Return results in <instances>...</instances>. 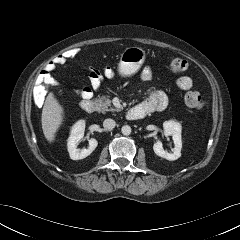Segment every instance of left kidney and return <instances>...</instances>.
<instances>
[{
  "label": "left kidney",
  "instance_id": "obj_1",
  "mask_svg": "<svg viewBox=\"0 0 240 240\" xmlns=\"http://www.w3.org/2000/svg\"><path fill=\"white\" fill-rule=\"evenodd\" d=\"M164 134L172 136L174 142L173 153H168L163 149L162 142L157 140L153 145V150L156 155L165 158L169 161L177 160L181 156L182 140H181V124L176 121H165L163 123Z\"/></svg>",
  "mask_w": 240,
  "mask_h": 240
}]
</instances>
